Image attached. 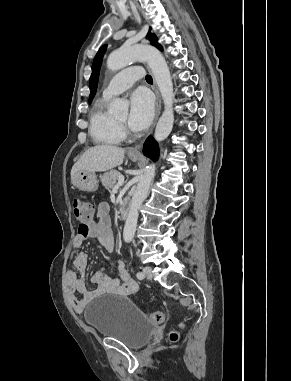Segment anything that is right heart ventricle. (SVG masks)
<instances>
[{
  "label": "right heart ventricle",
  "mask_w": 291,
  "mask_h": 381,
  "mask_svg": "<svg viewBox=\"0 0 291 381\" xmlns=\"http://www.w3.org/2000/svg\"><path fill=\"white\" fill-rule=\"evenodd\" d=\"M107 97H102L93 105L89 117V133L99 145H117L124 138L117 121L107 112Z\"/></svg>",
  "instance_id": "e07e8e85"
}]
</instances>
